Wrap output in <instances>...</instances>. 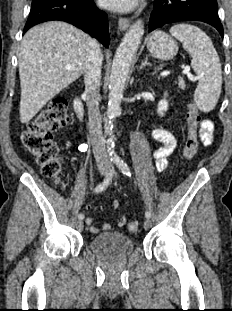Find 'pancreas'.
<instances>
[{"label": "pancreas", "mask_w": 232, "mask_h": 311, "mask_svg": "<svg viewBox=\"0 0 232 311\" xmlns=\"http://www.w3.org/2000/svg\"><path fill=\"white\" fill-rule=\"evenodd\" d=\"M176 83H178V86H179L180 89H182V90L185 89L186 84H185V82H184V80L182 78H179Z\"/></svg>", "instance_id": "pancreas-1"}]
</instances>
